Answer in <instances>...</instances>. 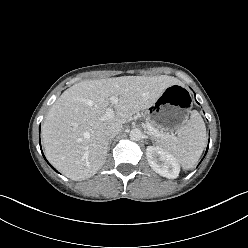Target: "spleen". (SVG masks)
<instances>
[{
    "label": "spleen",
    "mask_w": 248,
    "mask_h": 248,
    "mask_svg": "<svg viewBox=\"0 0 248 248\" xmlns=\"http://www.w3.org/2000/svg\"><path fill=\"white\" fill-rule=\"evenodd\" d=\"M206 126L198 111L191 112L188 122L178 130L176 137L159 142V147L171 154L183 169L198 162L206 146Z\"/></svg>",
    "instance_id": "obj_1"
}]
</instances>
